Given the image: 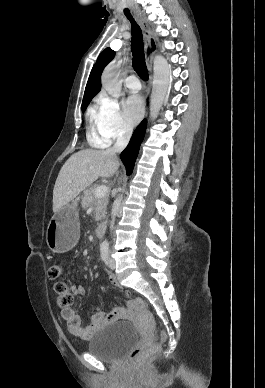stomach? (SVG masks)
<instances>
[{
	"label": "stomach",
	"mask_w": 265,
	"mask_h": 388,
	"mask_svg": "<svg viewBox=\"0 0 265 388\" xmlns=\"http://www.w3.org/2000/svg\"><path fill=\"white\" fill-rule=\"evenodd\" d=\"M79 216L76 204L66 205L52 217L46 232L50 250L64 253L72 249L79 239Z\"/></svg>",
	"instance_id": "0dacf381"
}]
</instances>
